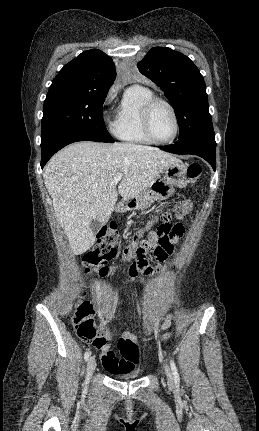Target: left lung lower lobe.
<instances>
[{
  "label": "left lung lower lobe",
  "instance_id": "left-lung-lower-lobe-1",
  "mask_svg": "<svg viewBox=\"0 0 259 431\" xmlns=\"http://www.w3.org/2000/svg\"><path fill=\"white\" fill-rule=\"evenodd\" d=\"M176 154H192L205 159L212 168L216 169V142L196 140L191 142H177L175 145L159 146Z\"/></svg>",
  "mask_w": 259,
  "mask_h": 431
}]
</instances>
